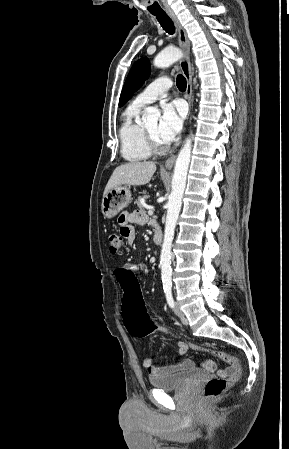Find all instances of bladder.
Masks as SVG:
<instances>
[{
	"mask_svg": "<svg viewBox=\"0 0 289 449\" xmlns=\"http://www.w3.org/2000/svg\"><path fill=\"white\" fill-rule=\"evenodd\" d=\"M206 372L200 369H190L187 371L164 373L160 375H151L150 384L162 390H175L183 388L190 383L204 377Z\"/></svg>",
	"mask_w": 289,
	"mask_h": 449,
	"instance_id": "obj_1",
	"label": "bladder"
}]
</instances>
